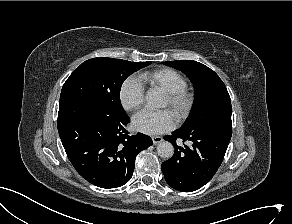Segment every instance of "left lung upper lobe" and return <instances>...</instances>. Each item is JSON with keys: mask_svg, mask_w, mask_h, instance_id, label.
Here are the masks:
<instances>
[{"mask_svg": "<svg viewBox=\"0 0 292 224\" xmlns=\"http://www.w3.org/2000/svg\"><path fill=\"white\" fill-rule=\"evenodd\" d=\"M162 64L185 73L195 89L196 102L193 112L181 130L193 132L232 128L230 96L225 84L213 70L192 60Z\"/></svg>", "mask_w": 292, "mask_h": 224, "instance_id": "obj_1", "label": "left lung upper lobe"}]
</instances>
